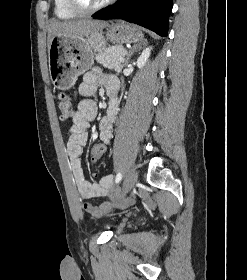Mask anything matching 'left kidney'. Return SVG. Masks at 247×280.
<instances>
[{"label":"left kidney","mask_w":247,"mask_h":280,"mask_svg":"<svg viewBox=\"0 0 247 280\" xmlns=\"http://www.w3.org/2000/svg\"><path fill=\"white\" fill-rule=\"evenodd\" d=\"M151 50H152V47H147L146 49H144L142 51L141 55L137 59V66L139 69H142L146 65L147 60L150 56Z\"/></svg>","instance_id":"obj_1"}]
</instances>
